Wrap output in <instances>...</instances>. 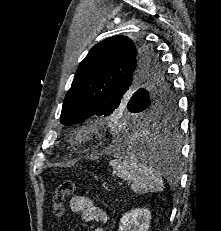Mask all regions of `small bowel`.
<instances>
[{"label": "small bowel", "mask_w": 221, "mask_h": 231, "mask_svg": "<svg viewBox=\"0 0 221 231\" xmlns=\"http://www.w3.org/2000/svg\"><path fill=\"white\" fill-rule=\"evenodd\" d=\"M70 208L75 213H81L85 222L104 224L107 220L106 212L102 208L96 206L88 197H73L70 201ZM94 231H104V229L102 226H98Z\"/></svg>", "instance_id": "1"}]
</instances>
